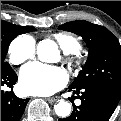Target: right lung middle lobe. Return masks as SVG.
<instances>
[{"label":"right lung middle lobe","mask_w":121,"mask_h":121,"mask_svg":"<svg viewBox=\"0 0 121 121\" xmlns=\"http://www.w3.org/2000/svg\"><path fill=\"white\" fill-rule=\"evenodd\" d=\"M34 27L17 26L1 20V68H11L7 62H4L8 46L11 41L19 34L30 32Z\"/></svg>","instance_id":"dd1d6c3e"}]
</instances>
